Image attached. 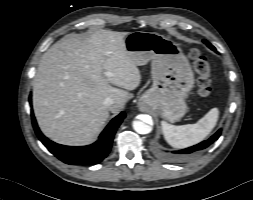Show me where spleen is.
I'll use <instances>...</instances> for the list:
<instances>
[{"instance_id": "obj_1", "label": "spleen", "mask_w": 253, "mask_h": 200, "mask_svg": "<svg viewBox=\"0 0 253 200\" xmlns=\"http://www.w3.org/2000/svg\"><path fill=\"white\" fill-rule=\"evenodd\" d=\"M219 117V110L212 108L195 124L171 125L161 122L164 138L174 148H187L204 140L215 127Z\"/></svg>"}]
</instances>
